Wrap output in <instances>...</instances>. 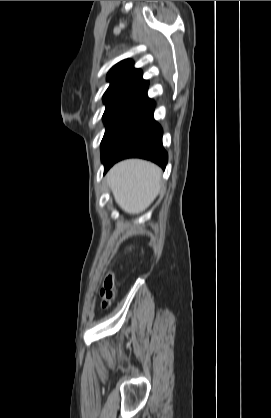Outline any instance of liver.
Instances as JSON below:
<instances>
[{
  "mask_svg": "<svg viewBox=\"0 0 271 418\" xmlns=\"http://www.w3.org/2000/svg\"><path fill=\"white\" fill-rule=\"evenodd\" d=\"M161 173V169L151 162L129 159L114 165L106 179L120 208L129 214H139L157 197Z\"/></svg>",
  "mask_w": 271,
  "mask_h": 418,
  "instance_id": "6515ba94",
  "label": "liver"
}]
</instances>
